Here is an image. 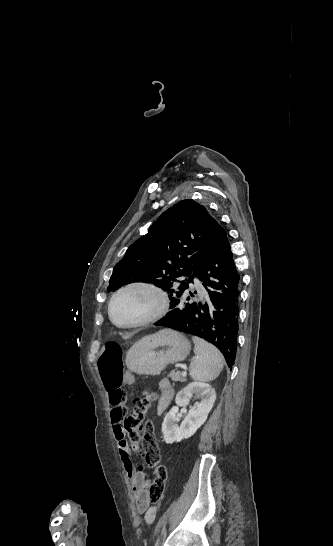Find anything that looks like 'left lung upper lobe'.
Masks as SVG:
<instances>
[{"mask_svg":"<svg viewBox=\"0 0 333 546\" xmlns=\"http://www.w3.org/2000/svg\"><path fill=\"white\" fill-rule=\"evenodd\" d=\"M217 225L204 206L189 199L178 202L127 249L113 268L108 291L141 281L155 284L173 299L188 287L190 278H179L190 275L207 253Z\"/></svg>","mask_w":333,"mask_h":546,"instance_id":"left-lung-upper-lobe-1","label":"left lung upper lobe"}]
</instances>
